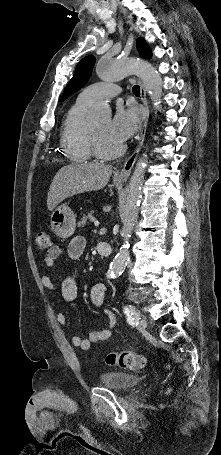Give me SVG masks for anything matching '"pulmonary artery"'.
Wrapping results in <instances>:
<instances>
[{"instance_id":"pulmonary-artery-1","label":"pulmonary artery","mask_w":221,"mask_h":455,"mask_svg":"<svg viewBox=\"0 0 221 455\" xmlns=\"http://www.w3.org/2000/svg\"><path fill=\"white\" fill-rule=\"evenodd\" d=\"M121 88L110 82H99L87 86L80 93V98L87 103H94L100 99L115 97Z\"/></svg>"}]
</instances>
